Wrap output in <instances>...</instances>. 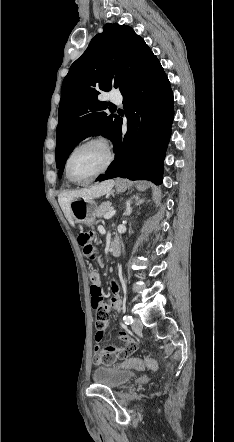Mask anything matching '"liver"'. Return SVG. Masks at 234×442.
<instances>
[{"label":"liver","mask_w":234,"mask_h":442,"mask_svg":"<svg viewBox=\"0 0 234 442\" xmlns=\"http://www.w3.org/2000/svg\"><path fill=\"white\" fill-rule=\"evenodd\" d=\"M114 184H115L114 180L110 179L98 183L97 185H94L89 188H84L77 191L64 192L60 194L58 201L69 223L74 226V219L70 209V203L72 201H74L77 198H82L84 200H93L95 198H99L105 195L106 193H108L109 191H111Z\"/></svg>","instance_id":"liver-1"}]
</instances>
